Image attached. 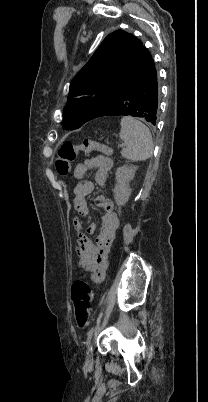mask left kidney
Returning a JSON list of instances; mask_svg holds the SVG:
<instances>
[{"instance_id": "1", "label": "left kidney", "mask_w": 208, "mask_h": 402, "mask_svg": "<svg viewBox=\"0 0 208 402\" xmlns=\"http://www.w3.org/2000/svg\"><path fill=\"white\" fill-rule=\"evenodd\" d=\"M136 166H122L116 172V186L113 190L114 200L117 206H124L128 202L131 194L129 186L135 176Z\"/></svg>"}]
</instances>
